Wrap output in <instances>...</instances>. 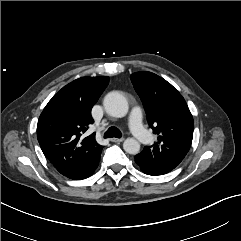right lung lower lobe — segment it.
Instances as JSON below:
<instances>
[{
	"label": "right lung lower lobe",
	"instance_id": "98d812e1",
	"mask_svg": "<svg viewBox=\"0 0 241 241\" xmlns=\"http://www.w3.org/2000/svg\"><path fill=\"white\" fill-rule=\"evenodd\" d=\"M100 161V157H98L95 161L92 163H89L76 171L70 173L67 177L73 180H80V179H85L89 176H91L94 171L96 170L98 164Z\"/></svg>",
	"mask_w": 241,
	"mask_h": 241
}]
</instances>
